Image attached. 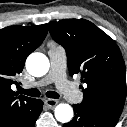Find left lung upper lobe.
<instances>
[{
  "label": "left lung upper lobe",
  "instance_id": "1",
  "mask_svg": "<svg viewBox=\"0 0 127 127\" xmlns=\"http://www.w3.org/2000/svg\"><path fill=\"white\" fill-rule=\"evenodd\" d=\"M52 38L67 54L69 73L81 74L82 106L119 119L126 98V69L113 39L85 19L49 24Z\"/></svg>",
  "mask_w": 127,
  "mask_h": 127
}]
</instances>
